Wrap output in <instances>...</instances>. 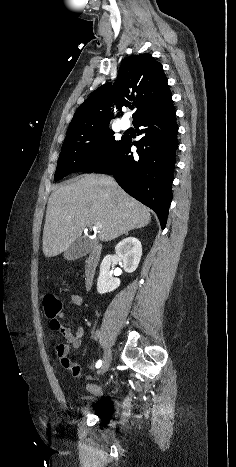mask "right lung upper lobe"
Returning a JSON list of instances; mask_svg holds the SVG:
<instances>
[{"mask_svg": "<svg viewBox=\"0 0 236 467\" xmlns=\"http://www.w3.org/2000/svg\"><path fill=\"white\" fill-rule=\"evenodd\" d=\"M169 98L171 93L162 65L151 54L129 56L122 62L116 82L96 89L77 109L67 134L107 128L113 116L112 103L122 107L133 101L137 108L134 123Z\"/></svg>", "mask_w": 236, "mask_h": 467, "instance_id": "obj_1", "label": "right lung upper lobe"}]
</instances>
